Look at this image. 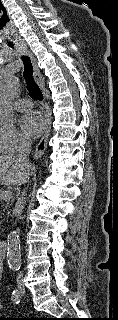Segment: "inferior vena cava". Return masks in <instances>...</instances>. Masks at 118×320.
Segmentation results:
<instances>
[{"mask_svg": "<svg viewBox=\"0 0 118 320\" xmlns=\"http://www.w3.org/2000/svg\"><path fill=\"white\" fill-rule=\"evenodd\" d=\"M31 153V143L27 140H22L20 148H19V152L17 154V159L18 161L22 162L23 164L29 166V162H28V157ZM29 180V174L26 176V180L24 181V183H26ZM26 203V198H25V191L22 192V194L20 195V197L17 198V202L15 204V209H14V214L16 216H20L24 205ZM23 278V273L20 271L17 274V282L21 281Z\"/></svg>", "mask_w": 118, "mask_h": 320, "instance_id": "602c4592", "label": "inferior vena cava"}]
</instances>
